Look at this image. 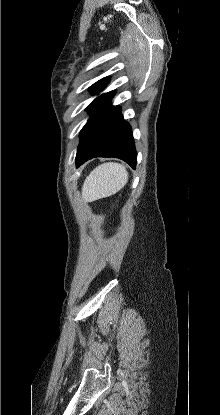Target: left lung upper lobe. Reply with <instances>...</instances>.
<instances>
[{
  "label": "left lung upper lobe",
  "instance_id": "left-lung-upper-lobe-1",
  "mask_svg": "<svg viewBox=\"0 0 220 415\" xmlns=\"http://www.w3.org/2000/svg\"><path fill=\"white\" fill-rule=\"evenodd\" d=\"M109 81H110V78L109 77H105V78H102L101 80H99L98 82H96L95 84H93L92 86H91V88H90V91L92 92V93H97V92H99L100 90H102L108 83H109ZM94 102H92V104H93ZM92 104H90L89 105V107L92 105Z\"/></svg>",
  "mask_w": 220,
  "mask_h": 415
}]
</instances>
